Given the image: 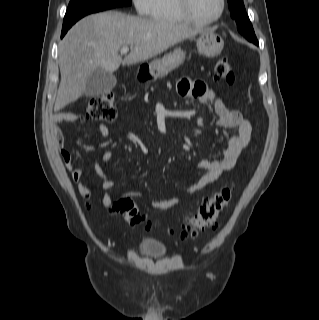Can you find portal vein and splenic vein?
I'll return each mask as SVG.
<instances>
[{"instance_id":"obj_1","label":"portal vein and splenic vein","mask_w":319,"mask_h":320,"mask_svg":"<svg viewBox=\"0 0 319 320\" xmlns=\"http://www.w3.org/2000/svg\"><path fill=\"white\" fill-rule=\"evenodd\" d=\"M128 51H129V47L128 46H124V47L121 48L120 53L126 54V53H128Z\"/></svg>"}]
</instances>
